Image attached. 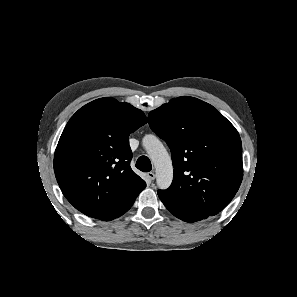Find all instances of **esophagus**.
Segmentation results:
<instances>
[{
  "instance_id": "1",
  "label": "esophagus",
  "mask_w": 297,
  "mask_h": 297,
  "mask_svg": "<svg viewBox=\"0 0 297 297\" xmlns=\"http://www.w3.org/2000/svg\"><path fill=\"white\" fill-rule=\"evenodd\" d=\"M147 176H148V179H149L150 181H153V180L155 179V174H154V172H149V173L147 174Z\"/></svg>"
}]
</instances>
